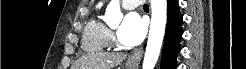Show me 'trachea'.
Instances as JSON below:
<instances>
[{
    "mask_svg": "<svg viewBox=\"0 0 246 69\" xmlns=\"http://www.w3.org/2000/svg\"><path fill=\"white\" fill-rule=\"evenodd\" d=\"M144 8H149V5L145 4V5H144Z\"/></svg>",
    "mask_w": 246,
    "mask_h": 69,
    "instance_id": "obj_1",
    "label": "trachea"
}]
</instances>
